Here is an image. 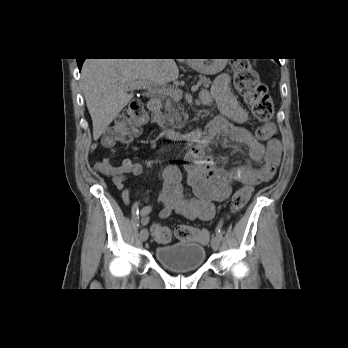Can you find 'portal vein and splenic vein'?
<instances>
[{"label": "portal vein and splenic vein", "mask_w": 348, "mask_h": 348, "mask_svg": "<svg viewBox=\"0 0 348 348\" xmlns=\"http://www.w3.org/2000/svg\"><path fill=\"white\" fill-rule=\"evenodd\" d=\"M128 86L132 89L147 88L150 91L170 96L174 98L175 100H180L183 96V92L179 88L167 86V85H161V84H153L145 80L132 82ZM198 88H199V85H194L192 86L191 90L192 92H196Z\"/></svg>", "instance_id": "18ae733b"}]
</instances>
